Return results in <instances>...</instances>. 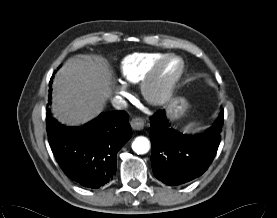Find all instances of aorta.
<instances>
[{"label": "aorta", "mask_w": 277, "mask_h": 218, "mask_svg": "<svg viewBox=\"0 0 277 218\" xmlns=\"http://www.w3.org/2000/svg\"><path fill=\"white\" fill-rule=\"evenodd\" d=\"M132 149L137 154H146L150 150V142L144 136H138L132 143Z\"/></svg>", "instance_id": "aorta-1"}]
</instances>
